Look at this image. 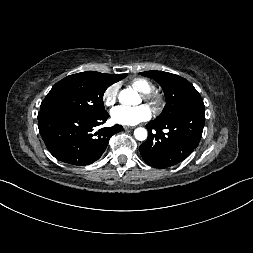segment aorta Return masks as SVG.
<instances>
[{"label": "aorta", "mask_w": 253, "mask_h": 253, "mask_svg": "<svg viewBox=\"0 0 253 253\" xmlns=\"http://www.w3.org/2000/svg\"><path fill=\"white\" fill-rule=\"evenodd\" d=\"M119 101L123 105H137L141 99L136 90L132 88L124 89L119 94ZM134 136L137 140L143 141L147 138V130L145 128H137L134 131Z\"/></svg>", "instance_id": "obj_1"}]
</instances>
